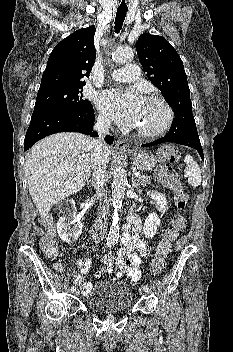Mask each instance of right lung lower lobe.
I'll return each instance as SVG.
<instances>
[{
  "label": "right lung lower lobe",
  "instance_id": "right-lung-lower-lobe-1",
  "mask_svg": "<svg viewBox=\"0 0 233 352\" xmlns=\"http://www.w3.org/2000/svg\"><path fill=\"white\" fill-rule=\"evenodd\" d=\"M93 107L80 110L47 111L33 114L24 140V150L27 151L38 140L58 132H79L92 137L97 136L93 131ZM113 136H106L105 141L112 144Z\"/></svg>",
  "mask_w": 233,
  "mask_h": 352
}]
</instances>
